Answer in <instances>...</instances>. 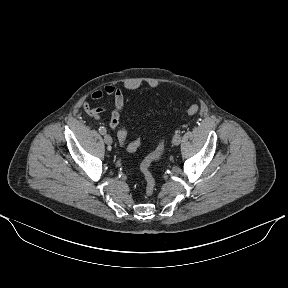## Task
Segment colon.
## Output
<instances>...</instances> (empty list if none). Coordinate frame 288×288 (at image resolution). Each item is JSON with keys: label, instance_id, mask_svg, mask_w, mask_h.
Listing matches in <instances>:
<instances>
[{"label": "colon", "instance_id": "5ec220e1", "mask_svg": "<svg viewBox=\"0 0 288 288\" xmlns=\"http://www.w3.org/2000/svg\"><path fill=\"white\" fill-rule=\"evenodd\" d=\"M199 111V107L196 104L190 105L185 109L188 115H194ZM118 139L122 145L126 147L128 151H135L140 146V139H136L132 142L127 143V131L122 129ZM164 151V144L160 142L155 151L146 156L141 164V170L143 172L145 182H146V194L152 195L155 190L156 181L151 172L152 163L160 159Z\"/></svg>", "mask_w": 288, "mask_h": 288}]
</instances>
